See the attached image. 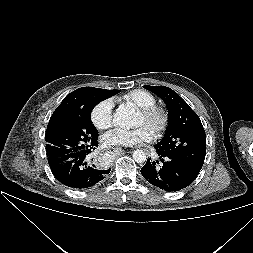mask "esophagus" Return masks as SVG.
<instances>
[{"label": "esophagus", "instance_id": "esophagus-1", "mask_svg": "<svg viewBox=\"0 0 253 253\" xmlns=\"http://www.w3.org/2000/svg\"><path fill=\"white\" fill-rule=\"evenodd\" d=\"M107 152L115 155H120L123 150L118 147H109L107 148Z\"/></svg>", "mask_w": 253, "mask_h": 253}]
</instances>
